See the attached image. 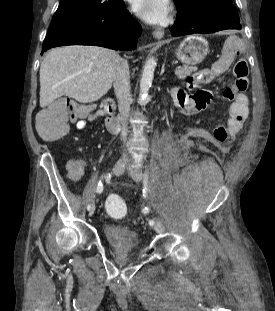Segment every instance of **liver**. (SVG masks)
Masks as SVG:
<instances>
[{
	"instance_id": "1",
	"label": "liver",
	"mask_w": 275,
	"mask_h": 311,
	"mask_svg": "<svg viewBox=\"0 0 275 311\" xmlns=\"http://www.w3.org/2000/svg\"><path fill=\"white\" fill-rule=\"evenodd\" d=\"M115 55L110 49L86 45L49 51L40 66V106L63 95L80 103L100 99L112 86Z\"/></svg>"
}]
</instances>
